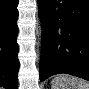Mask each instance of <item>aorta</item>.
<instances>
[{"instance_id": "aorta-1", "label": "aorta", "mask_w": 89, "mask_h": 89, "mask_svg": "<svg viewBox=\"0 0 89 89\" xmlns=\"http://www.w3.org/2000/svg\"><path fill=\"white\" fill-rule=\"evenodd\" d=\"M41 35H42V27L41 24L39 23V25L36 27V36H37V50L40 49L41 46Z\"/></svg>"}]
</instances>
